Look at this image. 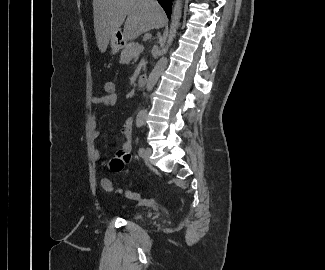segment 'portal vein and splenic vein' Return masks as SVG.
Returning a JSON list of instances; mask_svg holds the SVG:
<instances>
[{"instance_id": "18ae733b", "label": "portal vein and splenic vein", "mask_w": 325, "mask_h": 270, "mask_svg": "<svg viewBox=\"0 0 325 270\" xmlns=\"http://www.w3.org/2000/svg\"><path fill=\"white\" fill-rule=\"evenodd\" d=\"M143 50H144V47L143 46H139L138 51L141 52Z\"/></svg>"}]
</instances>
